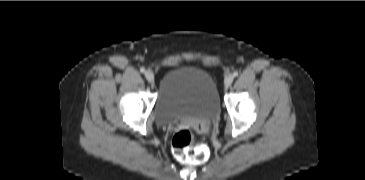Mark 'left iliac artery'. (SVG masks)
I'll return each mask as SVG.
<instances>
[{
    "label": "left iliac artery",
    "mask_w": 365,
    "mask_h": 180,
    "mask_svg": "<svg viewBox=\"0 0 365 180\" xmlns=\"http://www.w3.org/2000/svg\"><path fill=\"white\" fill-rule=\"evenodd\" d=\"M233 76H234V77L238 76V72H237V71H235V72L233 73Z\"/></svg>",
    "instance_id": "1"
}]
</instances>
